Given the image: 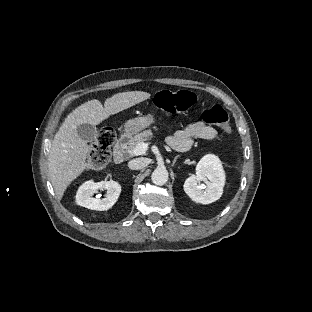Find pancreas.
Returning a JSON list of instances; mask_svg holds the SVG:
<instances>
[{
    "instance_id": "pancreas-1",
    "label": "pancreas",
    "mask_w": 312,
    "mask_h": 312,
    "mask_svg": "<svg viewBox=\"0 0 312 312\" xmlns=\"http://www.w3.org/2000/svg\"><path fill=\"white\" fill-rule=\"evenodd\" d=\"M153 129L159 133L158 128L155 126ZM151 135L153 132L151 129L144 130L143 132L136 134L132 139L129 141L128 145L126 146V151L130 152L134 147H136L140 143H145V141L151 139Z\"/></svg>"
}]
</instances>
